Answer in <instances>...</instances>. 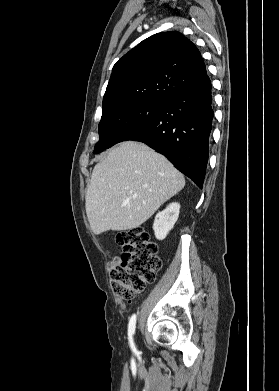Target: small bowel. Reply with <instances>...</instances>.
<instances>
[{
    "instance_id": "1",
    "label": "small bowel",
    "mask_w": 279,
    "mask_h": 391,
    "mask_svg": "<svg viewBox=\"0 0 279 391\" xmlns=\"http://www.w3.org/2000/svg\"><path fill=\"white\" fill-rule=\"evenodd\" d=\"M119 262V258H114V260L111 262V267L113 268L115 265H117Z\"/></svg>"
}]
</instances>
